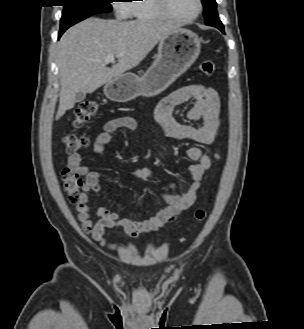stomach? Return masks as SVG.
<instances>
[{"label": "stomach", "instance_id": "0dacf381", "mask_svg": "<svg viewBox=\"0 0 304 329\" xmlns=\"http://www.w3.org/2000/svg\"><path fill=\"white\" fill-rule=\"evenodd\" d=\"M200 48V39L194 32L178 28L160 40L158 55L142 76L125 73L106 83L104 93L110 100L122 103L138 96H155L196 61Z\"/></svg>", "mask_w": 304, "mask_h": 329}]
</instances>
